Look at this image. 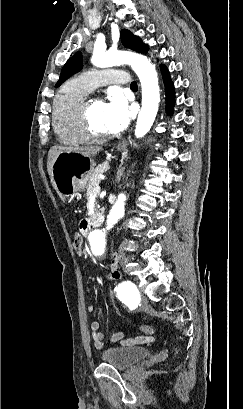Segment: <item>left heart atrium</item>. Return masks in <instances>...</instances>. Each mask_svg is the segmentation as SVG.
I'll use <instances>...</instances> for the list:
<instances>
[{"instance_id":"39dd6f15","label":"left heart atrium","mask_w":243,"mask_h":409,"mask_svg":"<svg viewBox=\"0 0 243 409\" xmlns=\"http://www.w3.org/2000/svg\"><path fill=\"white\" fill-rule=\"evenodd\" d=\"M130 111L126 101L119 95H113L104 109V125L106 133L114 134L122 131L129 122Z\"/></svg>"}]
</instances>
